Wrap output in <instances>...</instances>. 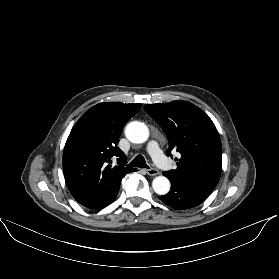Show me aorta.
<instances>
[{"mask_svg": "<svg viewBox=\"0 0 279 279\" xmlns=\"http://www.w3.org/2000/svg\"><path fill=\"white\" fill-rule=\"evenodd\" d=\"M125 135L133 143H144L149 138V129L144 123L133 121L126 126ZM170 186V181L165 176H158L152 182L153 190L159 195L167 194Z\"/></svg>", "mask_w": 279, "mask_h": 279, "instance_id": "762f6f07", "label": "aorta"}]
</instances>
